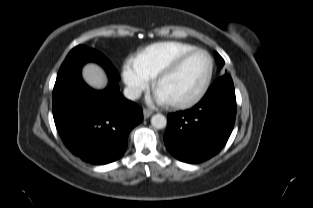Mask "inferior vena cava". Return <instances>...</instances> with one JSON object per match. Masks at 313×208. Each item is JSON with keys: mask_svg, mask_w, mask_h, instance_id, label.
Returning a JSON list of instances; mask_svg holds the SVG:
<instances>
[{"mask_svg": "<svg viewBox=\"0 0 313 208\" xmlns=\"http://www.w3.org/2000/svg\"><path fill=\"white\" fill-rule=\"evenodd\" d=\"M124 96L129 100H136L141 96V89L137 87L124 88Z\"/></svg>", "mask_w": 313, "mask_h": 208, "instance_id": "inferior-vena-cava-1", "label": "inferior vena cava"}]
</instances>
